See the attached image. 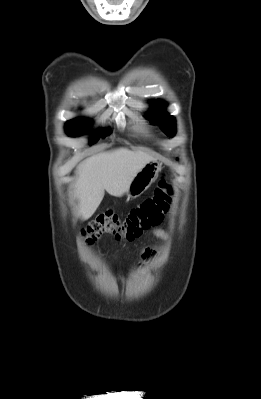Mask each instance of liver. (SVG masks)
Here are the masks:
<instances>
[{
	"instance_id": "liver-1",
	"label": "liver",
	"mask_w": 261,
	"mask_h": 399,
	"mask_svg": "<svg viewBox=\"0 0 261 399\" xmlns=\"http://www.w3.org/2000/svg\"><path fill=\"white\" fill-rule=\"evenodd\" d=\"M156 159L143 151L121 147L86 158L77 168L75 195L79 200V215L88 220L97 210L105 191L121 197L136 174Z\"/></svg>"
}]
</instances>
